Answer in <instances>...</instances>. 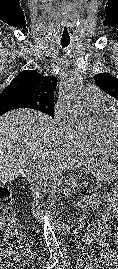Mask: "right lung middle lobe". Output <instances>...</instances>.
Wrapping results in <instances>:
<instances>
[{
  "mask_svg": "<svg viewBox=\"0 0 118 269\" xmlns=\"http://www.w3.org/2000/svg\"><path fill=\"white\" fill-rule=\"evenodd\" d=\"M18 108L36 109L54 118L53 104H41L21 94H6L0 96V116L10 110Z\"/></svg>",
  "mask_w": 118,
  "mask_h": 269,
  "instance_id": "dd1d6c3e",
  "label": "right lung middle lobe"
}]
</instances>
